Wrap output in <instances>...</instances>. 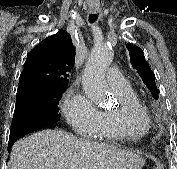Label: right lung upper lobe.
<instances>
[{"instance_id":"right-lung-upper-lobe-1","label":"right lung upper lobe","mask_w":177,"mask_h":169,"mask_svg":"<svg viewBox=\"0 0 177 169\" xmlns=\"http://www.w3.org/2000/svg\"><path fill=\"white\" fill-rule=\"evenodd\" d=\"M74 60L75 47L70 34L64 30L43 40L27 55L17 97L66 89Z\"/></svg>"}]
</instances>
